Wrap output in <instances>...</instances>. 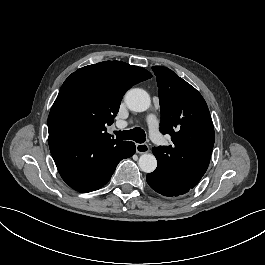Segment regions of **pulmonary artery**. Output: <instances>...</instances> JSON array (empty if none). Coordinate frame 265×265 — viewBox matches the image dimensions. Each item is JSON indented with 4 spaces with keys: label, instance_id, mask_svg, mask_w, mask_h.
Returning a JSON list of instances; mask_svg holds the SVG:
<instances>
[{
    "label": "pulmonary artery",
    "instance_id": "1",
    "mask_svg": "<svg viewBox=\"0 0 265 265\" xmlns=\"http://www.w3.org/2000/svg\"><path fill=\"white\" fill-rule=\"evenodd\" d=\"M159 120L156 115L150 114L146 117L145 126L149 130H153L149 134V139L151 144L155 148H161L165 144V139L162 136L161 132L156 130L158 127ZM128 126V123L125 121L117 122L115 125L116 129H124Z\"/></svg>",
    "mask_w": 265,
    "mask_h": 265
}]
</instances>
